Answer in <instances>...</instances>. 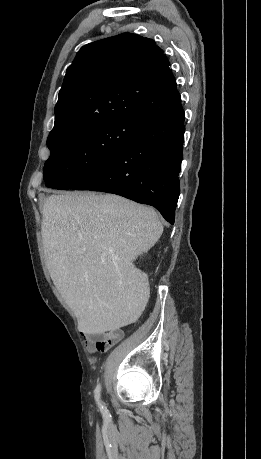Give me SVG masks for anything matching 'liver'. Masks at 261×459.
<instances>
[{
  "label": "liver",
  "mask_w": 261,
  "mask_h": 459,
  "mask_svg": "<svg viewBox=\"0 0 261 459\" xmlns=\"http://www.w3.org/2000/svg\"><path fill=\"white\" fill-rule=\"evenodd\" d=\"M154 209L114 194L45 199L42 242L50 276L86 334L128 324L145 275L133 261L159 240Z\"/></svg>",
  "instance_id": "obj_1"
}]
</instances>
